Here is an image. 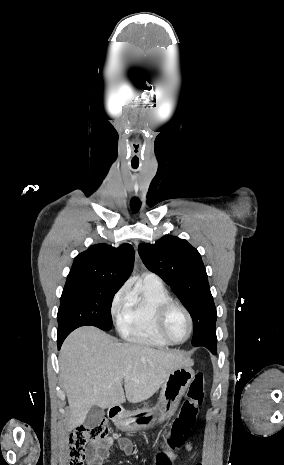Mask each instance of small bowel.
<instances>
[{"label": "small bowel", "instance_id": "obj_1", "mask_svg": "<svg viewBox=\"0 0 284 465\" xmlns=\"http://www.w3.org/2000/svg\"><path fill=\"white\" fill-rule=\"evenodd\" d=\"M116 446L122 449L127 456H131L134 452L131 440L122 438L118 434L113 433L106 440L94 444L89 456L90 465H102V462L107 458L109 452ZM160 448L163 451L166 450L163 444H160ZM187 448H192V442L187 443ZM172 458L175 459V456ZM199 465H202V463Z\"/></svg>", "mask_w": 284, "mask_h": 465}]
</instances>
